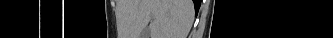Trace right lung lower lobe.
I'll use <instances>...</instances> for the list:
<instances>
[{"label": "right lung lower lobe", "mask_w": 333, "mask_h": 38, "mask_svg": "<svg viewBox=\"0 0 333 38\" xmlns=\"http://www.w3.org/2000/svg\"><path fill=\"white\" fill-rule=\"evenodd\" d=\"M194 1V4H195V10H196V5L198 4V3H200L199 1H196V0H193Z\"/></svg>", "instance_id": "1"}]
</instances>
